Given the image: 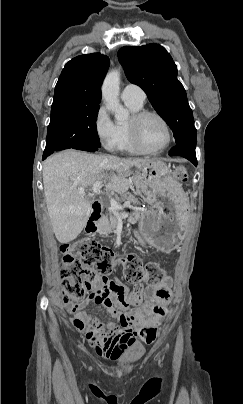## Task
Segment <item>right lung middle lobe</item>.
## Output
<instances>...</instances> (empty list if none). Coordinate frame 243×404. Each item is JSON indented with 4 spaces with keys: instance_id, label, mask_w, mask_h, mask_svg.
<instances>
[{
    "instance_id": "1",
    "label": "right lung middle lobe",
    "mask_w": 243,
    "mask_h": 404,
    "mask_svg": "<svg viewBox=\"0 0 243 404\" xmlns=\"http://www.w3.org/2000/svg\"><path fill=\"white\" fill-rule=\"evenodd\" d=\"M99 105L68 104L51 107L43 159L54 151L75 146L100 147L96 129Z\"/></svg>"
}]
</instances>
